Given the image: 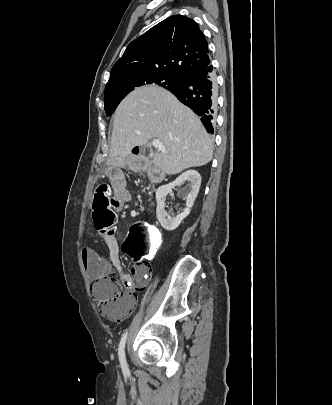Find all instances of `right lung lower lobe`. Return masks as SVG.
Wrapping results in <instances>:
<instances>
[{"label":"right lung lower lobe","mask_w":332,"mask_h":405,"mask_svg":"<svg viewBox=\"0 0 332 405\" xmlns=\"http://www.w3.org/2000/svg\"><path fill=\"white\" fill-rule=\"evenodd\" d=\"M167 90L201 116L207 132L213 133L217 85L210 63L184 75L177 85L167 88Z\"/></svg>","instance_id":"obj_1"}]
</instances>
